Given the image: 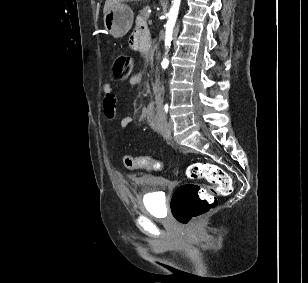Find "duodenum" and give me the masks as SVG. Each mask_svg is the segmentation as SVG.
<instances>
[{"mask_svg": "<svg viewBox=\"0 0 308 283\" xmlns=\"http://www.w3.org/2000/svg\"><path fill=\"white\" fill-rule=\"evenodd\" d=\"M151 44H152V39L151 38H142L141 39V48L144 50V51H149L151 49ZM147 55H149L150 53L147 52L146 53Z\"/></svg>", "mask_w": 308, "mask_h": 283, "instance_id": "obj_1", "label": "duodenum"}]
</instances>
